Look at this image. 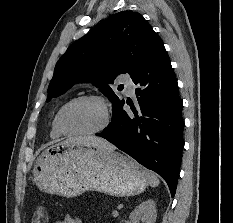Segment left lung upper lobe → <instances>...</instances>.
<instances>
[{"instance_id":"5c2ea615","label":"left lung upper lobe","mask_w":233,"mask_h":223,"mask_svg":"<svg viewBox=\"0 0 233 223\" xmlns=\"http://www.w3.org/2000/svg\"><path fill=\"white\" fill-rule=\"evenodd\" d=\"M159 39L147 21L136 12L122 11L98 24L73 43L55 66L47 102L77 82H92L113 102L112 118L123 101L113 92L117 75L133 78Z\"/></svg>"}]
</instances>
